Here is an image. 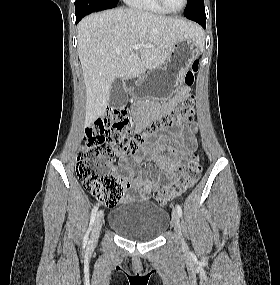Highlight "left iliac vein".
Instances as JSON below:
<instances>
[{
	"instance_id": "1",
	"label": "left iliac vein",
	"mask_w": 280,
	"mask_h": 285,
	"mask_svg": "<svg viewBox=\"0 0 280 285\" xmlns=\"http://www.w3.org/2000/svg\"><path fill=\"white\" fill-rule=\"evenodd\" d=\"M171 223H172V226H173L174 231L176 232L177 236L179 237V239L182 240L180 217H179L177 210H175V209L172 211Z\"/></svg>"
}]
</instances>
